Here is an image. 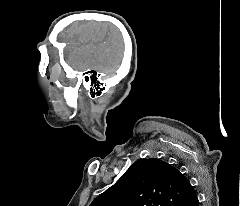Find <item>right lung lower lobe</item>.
<instances>
[{"instance_id": "obj_1", "label": "right lung lower lobe", "mask_w": 240, "mask_h": 206, "mask_svg": "<svg viewBox=\"0 0 240 206\" xmlns=\"http://www.w3.org/2000/svg\"><path fill=\"white\" fill-rule=\"evenodd\" d=\"M179 206H199L197 195H195L194 197L190 198L189 200L183 202Z\"/></svg>"}]
</instances>
